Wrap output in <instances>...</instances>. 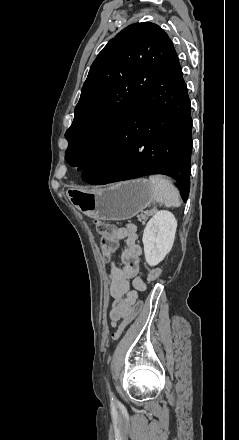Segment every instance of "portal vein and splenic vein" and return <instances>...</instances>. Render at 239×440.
Segmentation results:
<instances>
[{
  "label": "portal vein and splenic vein",
  "instance_id": "1",
  "mask_svg": "<svg viewBox=\"0 0 239 440\" xmlns=\"http://www.w3.org/2000/svg\"><path fill=\"white\" fill-rule=\"evenodd\" d=\"M159 205H160V206H163V203H160Z\"/></svg>",
  "mask_w": 239,
  "mask_h": 440
}]
</instances>
